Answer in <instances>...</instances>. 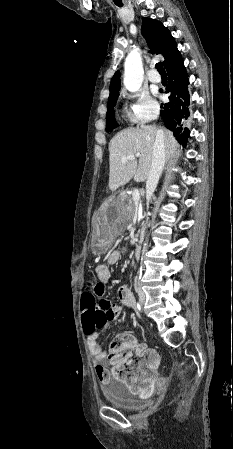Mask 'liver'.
<instances>
[{"mask_svg": "<svg viewBox=\"0 0 233 449\" xmlns=\"http://www.w3.org/2000/svg\"><path fill=\"white\" fill-rule=\"evenodd\" d=\"M159 131L164 134L165 149L168 157H177L180 154L179 146L173 134L165 128L158 129L154 125H141L127 128L117 133L109 143V189L117 190L128 183L132 178L143 182L148 178L152 150L156 135ZM134 154L139 160L121 162L123 157Z\"/></svg>", "mask_w": 233, "mask_h": 449, "instance_id": "liver-1", "label": "liver"}]
</instances>
